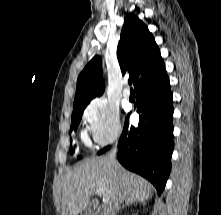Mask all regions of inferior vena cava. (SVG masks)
<instances>
[{
	"label": "inferior vena cava",
	"mask_w": 221,
	"mask_h": 215,
	"mask_svg": "<svg viewBox=\"0 0 221 215\" xmlns=\"http://www.w3.org/2000/svg\"><path fill=\"white\" fill-rule=\"evenodd\" d=\"M116 152H117V146H115L109 153V159L110 161L115 164L116 163ZM119 203L120 200L116 199L113 204L107 209L108 215H115L116 211L119 210Z\"/></svg>",
	"instance_id": "1"
}]
</instances>
